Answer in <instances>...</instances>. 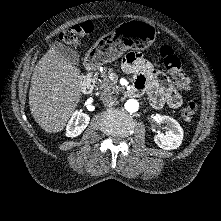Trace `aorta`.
Here are the masks:
<instances>
[{"mask_svg":"<svg viewBox=\"0 0 221 221\" xmlns=\"http://www.w3.org/2000/svg\"><path fill=\"white\" fill-rule=\"evenodd\" d=\"M124 106H125V109L130 113H134L139 110V103L135 99L127 100Z\"/></svg>","mask_w":221,"mask_h":221,"instance_id":"762f6f07","label":"aorta"}]
</instances>
